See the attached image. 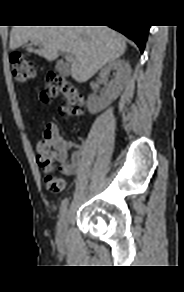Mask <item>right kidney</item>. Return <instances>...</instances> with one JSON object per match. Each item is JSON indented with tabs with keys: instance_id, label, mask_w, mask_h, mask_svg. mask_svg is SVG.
<instances>
[{
	"instance_id": "ca27d5eb",
	"label": "right kidney",
	"mask_w": 184,
	"mask_h": 292,
	"mask_svg": "<svg viewBox=\"0 0 184 292\" xmlns=\"http://www.w3.org/2000/svg\"><path fill=\"white\" fill-rule=\"evenodd\" d=\"M111 71L116 73L114 79L106 84V90L101 97L90 95L87 101V108L91 114H96L105 109L113 100H115L122 92L126 81L131 75L130 64L123 60L117 59L109 62L99 73V76L104 81Z\"/></svg>"
}]
</instances>
